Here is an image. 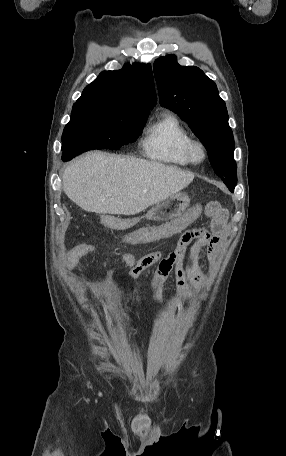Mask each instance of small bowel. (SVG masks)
<instances>
[{"instance_id": "c3829d8e", "label": "small bowel", "mask_w": 286, "mask_h": 456, "mask_svg": "<svg viewBox=\"0 0 286 456\" xmlns=\"http://www.w3.org/2000/svg\"><path fill=\"white\" fill-rule=\"evenodd\" d=\"M201 211V206H195L168 223L142 227L125 236V241L128 243H146L181 233L176 248L167 255L162 252H153L137 260L129 253L122 254L123 261L130 267L129 279L132 281L137 280L147 268L158 264L152 283L156 307H160L162 303L164 283L172 272L180 297L185 302L192 303L196 299V295L191 291L190 285L203 288L206 283V278L198 263L201 252L206 250L211 263H216L219 259L220 249L224 244L226 212L221 208L211 211L209 226L189 228L198 219ZM95 250V245L90 242L75 245L66 256L65 268L73 269L81 258Z\"/></svg>"}]
</instances>
